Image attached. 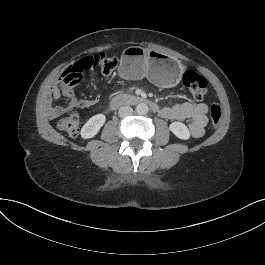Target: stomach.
Wrapping results in <instances>:
<instances>
[{
	"label": "stomach",
	"instance_id": "0dacf381",
	"mask_svg": "<svg viewBox=\"0 0 265 265\" xmlns=\"http://www.w3.org/2000/svg\"><path fill=\"white\" fill-rule=\"evenodd\" d=\"M181 62L164 52L139 46L125 49L120 58L119 74L126 79L147 77L161 87H174L181 78Z\"/></svg>",
	"mask_w": 265,
	"mask_h": 265
}]
</instances>
